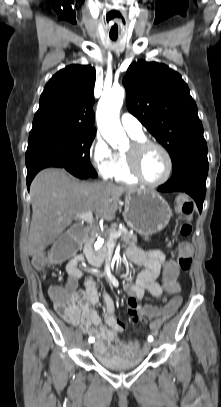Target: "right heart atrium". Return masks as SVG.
I'll return each instance as SVG.
<instances>
[{"instance_id":"d8ad5b80","label":"right heart atrium","mask_w":221,"mask_h":407,"mask_svg":"<svg viewBox=\"0 0 221 407\" xmlns=\"http://www.w3.org/2000/svg\"><path fill=\"white\" fill-rule=\"evenodd\" d=\"M89 154L93 167L103 178L114 176L118 166V154L100 135L94 138Z\"/></svg>"}]
</instances>
